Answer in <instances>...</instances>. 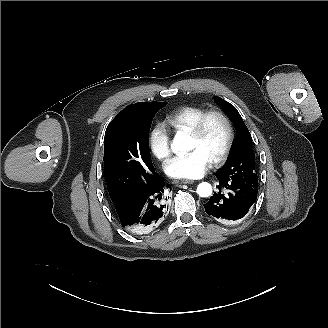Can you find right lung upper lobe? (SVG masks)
Segmentation results:
<instances>
[{
    "label": "right lung upper lobe",
    "mask_w": 328,
    "mask_h": 328,
    "mask_svg": "<svg viewBox=\"0 0 328 328\" xmlns=\"http://www.w3.org/2000/svg\"><path fill=\"white\" fill-rule=\"evenodd\" d=\"M122 210V207H118L117 209H116V211H121Z\"/></svg>",
    "instance_id": "obj_1"
}]
</instances>
